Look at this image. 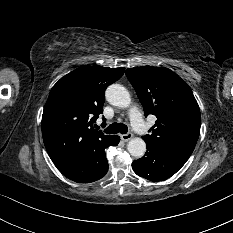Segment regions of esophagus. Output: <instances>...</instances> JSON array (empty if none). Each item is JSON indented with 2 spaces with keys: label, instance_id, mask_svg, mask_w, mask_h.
I'll return each instance as SVG.
<instances>
[{
  "label": "esophagus",
  "instance_id": "esophagus-1",
  "mask_svg": "<svg viewBox=\"0 0 233 233\" xmlns=\"http://www.w3.org/2000/svg\"><path fill=\"white\" fill-rule=\"evenodd\" d=\"M120 137L124 142H128L129 140H131L133 138V134L127 133V134L121 135Z\"/></svg>",
  "mask_w": 233,
  "mask_h": 233
}]
</instances>
